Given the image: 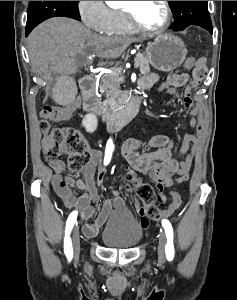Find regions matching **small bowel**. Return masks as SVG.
<instances>
[{
    "label": "small bowel",
    "instance_id": "1",
    "mask_svg": "<svg viewBox=\"0 0 237 300\" xmlns=\"http://www.w3.org/2000/svg\"><path fill=\"white\" fill-rule=\"evenodd\" d=\"M206 75V60L200 59L195 65L191 77L188 74H171L164 81V85L171 88L185 86L183 106L190 116L191 131L184 136L178 157L174 155V144L167 135L154 136L147 144L137 136L127 139L124 143V158L133 169L150 176L156 184L159 197H164L165 187L172 184L171 175L188 173L194 159L204 129V122L202 109L194 106L191 89L197 87ZM159 80V75L148 74L139 81L138 88L139 90L150 89ZM79 106L80 99L75 98L65 106L52 107L50 119L55 121L68 119ZM193 130H196V133ZM190 145L193 147L189 151ZM65 154L69 153L65 152ZM104 159L105 155L101 150H91V162L85 167L82 179L72 175H63L66 168L63 160L56 159L49 162L52 169L51 184L54 191L67 208L79 212L81 218L86 221L84 233L89 237L98 233L113 210H120L124 207L121 192L112 186L111 196L96 212L94 203L101 199L98 188L106 173ZM77 190H80L81 193H78ZM179 206L180 200L173 201L168 209L161 212L160 217L171 216ZM135 209L139 215L141 226L147 228L150 219L146 216L144 208L136 202Z\"/></svg>",
    "mask_w": 237,
    "mask_h": 300
}]
</instances>
